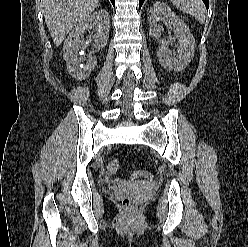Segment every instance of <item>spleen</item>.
<instances>
[{"label": "spleen", "instance_id": "1", "mask_svg": "<svg viewBox=\"0 0 248 247\" xmlns=\"http://www.w3.org/2000/svg\"><path fill=\"white\" fill-rule=\"evenodd\" d=\"M177 9L194 16L201 24L205 21L206 9L202 0H171Z\"/></svg>", "mask_w": 248, "mask_h": 247}]
</instances>
